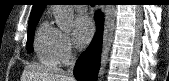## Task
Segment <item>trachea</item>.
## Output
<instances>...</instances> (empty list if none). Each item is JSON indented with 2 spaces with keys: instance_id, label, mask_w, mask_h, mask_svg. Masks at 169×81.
<instances>
[{
  "instance_id": "obj_1",
  "label": "trachea",
  "mask_w": 169,
  "mask_h": 81,
  "mask_svg": "<svg viewBox=\"0 0 169 81\" xmlns=\"http://www.w3.org/2000/svg\"><path fill=\"white\" fill-rule=\"evenodd\" d=\"M82 4L81 5H85L86 2H81ZM90 5H94L93 3H91Z\"/></svg>"
}]
</instances>
